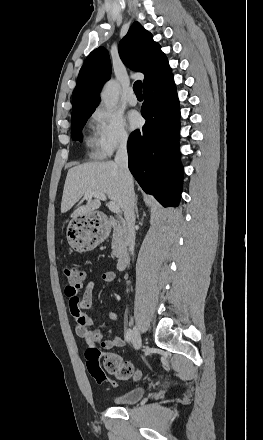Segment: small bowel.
Segmentation results:
<instances>
[{"label": "small bowel", "instance_id": "1", "mask_svg": "<svg viewBox=\"0 0 263 440\" xmlns=\"http://www.w3.org/2000/svg\"><path fill=\"white\" fill-rule=\"evenodd\" d=\"M116 272L106 271L102 274V280L106 284H113L116 280ZM95 283L88 280L85 285L78 288H66V294L69 298V307L72 317L75 320V332L77 336L84 339L89 346L99 345L103 349H112L122 347L124 340L121 336H115L112 339H106L105 333L94 325L92 318L86 314V310L90 309L93 304V291ZM83 289V295L78 296L80 290ZM111 323L119 320L117 312H111L108 316Z\"/></svg>", "mask_w": 263, "mask_h": 440}]
</instances>
